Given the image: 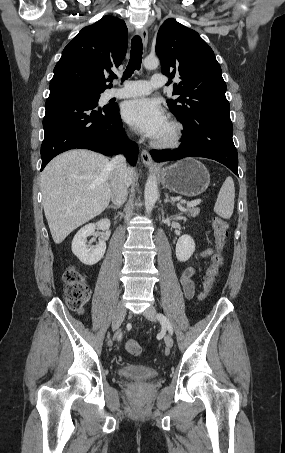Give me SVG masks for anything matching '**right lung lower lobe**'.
Listing matches in <instances>:
<instances>
[{
  "instance_id": "right-lung-lower-lobe-1",
  "label": "right lung lower lobe",
  "mask_w": 285,
  "mask_h": 453,
  "mask_svg": "<svg viewBox=\"0 0 285 453\" xmlns=\"http://www.w3.org/2000/svg\"><path fill=\"white\" fill-rule=\"evenodd\" d=\"M45 108L41 171L56 155L75 148L104 155L123 152L131 165L136 164L138 147L127 139L117 105L98 109L78 90L55 89Z\"/></svg>"
}]
</instances>
